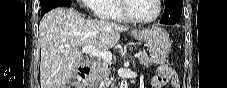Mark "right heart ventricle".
Listing matches in <instances>:
<instances>
[{"mask_svg":"<svg viewBox=\"0 0 227 88\" xmlns=\"http://www.w3.org/2000/svg\"><path fill=\"white\" fill-rule=\"evenodd\" d=\"M120 1L121 0H93L91 1V7L98 18L125 21L126 18L119 10Z\"/></svg>","mask_w":227,"mask_h":88,"instance_id":"e07e8e85","label":"right heart ventricle"}]
</instances>
